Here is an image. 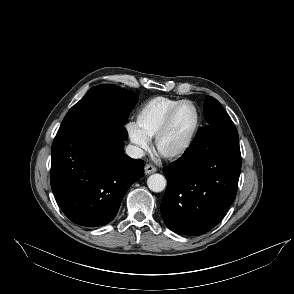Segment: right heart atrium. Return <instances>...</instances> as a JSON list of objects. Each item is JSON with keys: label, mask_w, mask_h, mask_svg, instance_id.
Returning a JSON list of instances; mask_svg holds the SVG:
<instances>
[{"label": "right heart atrium", "mask_w": 294, "mask_h": 294, "mask_svg": "<svg viewBox=\"0 0 294 294\" xmlns=\"http://www.w3.org/2000/svg\"><path fill=\"white\" fill-rule=\"evenodd\" d=\"M130 140L140 149L146 150L149 146V140L139 131L136 125L130 123L127 126Z\"/></svg>", "instance_id": "right-heart-atrium-1"}]
</instances>
